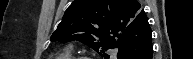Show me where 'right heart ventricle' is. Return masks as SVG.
Segmentation results:
<instances>
[{
  "label": "right heart ventricle",
  "mask_w": 193,
  "mask_h": 59,
  "mask_svg": "<svg viewBox=\"0 0 193 59\" xmlns=\"http://www.w3.org/2000/svg\"><path fill=\"white\" fill-rule=\"evenodd\" d=\"M71 52L68 49L63 50L55 59H71Z\"/></svg>",
  "instance_id": "obj_1"
}]
</instances>
